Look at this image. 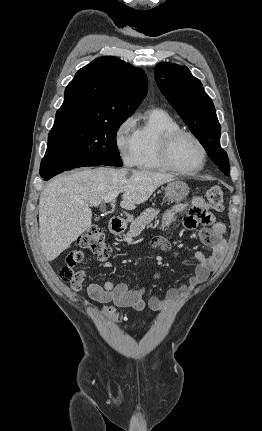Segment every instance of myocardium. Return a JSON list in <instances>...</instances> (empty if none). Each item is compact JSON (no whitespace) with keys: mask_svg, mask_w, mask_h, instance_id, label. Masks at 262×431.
<instances>
[{"mask_svg":"<svg viewBox=\"0 0 262 431\" xmlns=\"http://www.w3.org/2000/svg\"><path fill=\"white\" fill-rule=\"evenodd\" d=\"M181 136H187L191 138L200 148L201 154H202V160L201 164L194 170L187 171L181 168L179 165L176 164V162L173 159V145L175 141L181 137ZM207 149L203 142L192 132L184 130V129H176L172 131L166 132L161 139V146H160V158L164 166L171 171L177 172L184 176H194L198 174L206 165L207 162Z\"/></svg>","mask_w":262,"mask_h":431,"instance_id":"f54148a6","label":"myocardium"}]
</instances>
